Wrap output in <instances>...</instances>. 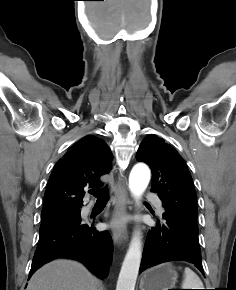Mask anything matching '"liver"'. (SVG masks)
I'll return each mask as SVG.
<instances>
[{"instance_id":"1","label":"liver","mask_w":236,"mask_h":290,"mask_svg":"<svg viewBox=\"0 0 236 290\" xmlns=\"http://www.w3.org/2000/svg\"><path fill=\"white\" fill-rule=\"evenodd\" d=\"M99 281L81 263L54 260L35 272L27 290H98Z\"/></svg>"}]
</instances>
